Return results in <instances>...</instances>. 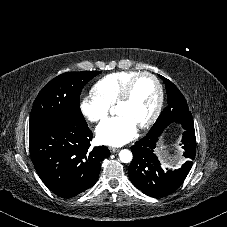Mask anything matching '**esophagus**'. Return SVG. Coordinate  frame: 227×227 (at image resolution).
<instances>
[{
    "instance_id": "34e87169",
    "label": "esophagus",
    "mask_w": 227,
    "mask_h": 227,
    "mask_svg": "<svg viewBox=\"0 0 227 227\" xmlns=\"http://www.w3.org/2000/svg\"><path fill=\"white\" fill-rule=\"evenodd\" d=\"M109 150H110L112 153H116V152L119 151V148L109 147Z\"/></svg>"
}]
</instances>
